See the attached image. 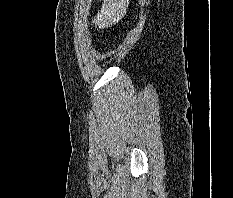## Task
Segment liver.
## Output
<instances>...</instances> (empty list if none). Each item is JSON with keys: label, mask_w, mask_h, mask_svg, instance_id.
<instances>
[{"label": "liver", "mask_w": 233, "mask_h": 198, "mask_svg": "<svg viewBox=\"0 0 233 198\" xmlns=\"http://www.w3.org/2000/svg\"><path fill=\"white\" fill-rule=\"evenodd\" d=\"M129 0H103L101 10L92 20L97 29L103 30L118 23L125 15Z\"/></svg>", "instance_id": "6515ba94"}]
</instances>
